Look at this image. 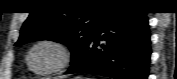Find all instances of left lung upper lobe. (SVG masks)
Segmentation results:
<instances>
[{"label": "left lung upper lobe", "mask_w": 177, "mask_h": 79, "mask_svg": "<svg viewBox=\"0 0 177 79\" xmlns=\"http://www.w3.org/2000/svg\"><path fill=\"white\" fill-rule=\"evenodd\" d=\"M60 1H45L36 12L30 13L24 22L21 35L15 46L36 40H53L66 44L72 52L71 64L78 59L89 39L97 28L103 12L121 1L88 0L80 1L85 5L70 12L50 11L51 4Z\"/></svg>", "instance_id": "left-lung-upper-lobe-1"}]
</instances>
